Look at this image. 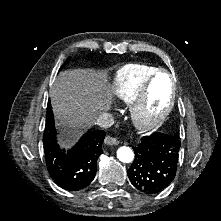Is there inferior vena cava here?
<instances>
[{
    "label": "inferior vena cava",
    "instance_id": "602c4592",
    "mask_svg": "<svg viewBox=\"0 0 221 221\" xmlns=\"http://www.w3.org/2000/svg\"><path fill=\"white\" fill-rule=\"evenodd\" d=\"M96 124L103 128H109L114 124L113 116L110 113H102L98 116Z\"/></svg>",
    "mask_w": 221,
    "mask_h": 221
}]
</instances>
